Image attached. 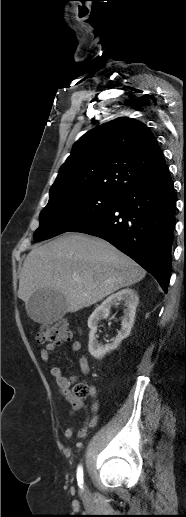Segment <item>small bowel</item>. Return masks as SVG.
<instances>
[{
	"label": "small bowel",
	"instance_id": "1",
	"mask_svg": "<svg viewBox=\"0 0 186 517\" xmlns=\"http://www.w3.org/2000/svg\"><path fill=\"white\" fill-rule=\"evenodd\" d=\"M55 344H47L45 347L41 348L39 350V357L40 359L48 363L50 360V353L55 349ZM71 349L75 352H79L81 349V344L77 340L71 341ZM79 367L80 371L83 375H88L89 373V362L86 356L82 355L79 358ZM51 375L53 376L59 392L62 396H64L70 403H71V409L69 411L70 415H73L75 412L84 409V403L83 401L74 398L71 395L70 392V383L68 379L63 375V372L61 369L57 366H52L50 369ZM98 410H99V404L94 403L91 407L90 413L87 414L86 419L82 425V427L78 430L77 436L78 438H84L87 435V431L89 428H93L97 425L98 422ZM74 433V426L70 425L68 426L65 431L64 435L68 439H72Z\"/></svg>",
	"mask_w": 186,
	"mask_h": 517
}]
</instances>
